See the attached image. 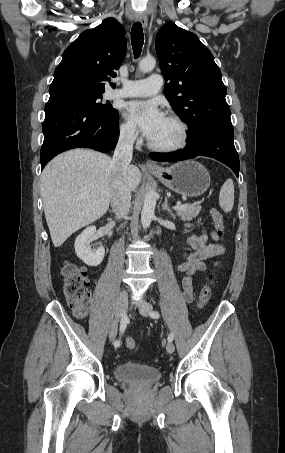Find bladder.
Listing matches in <instances>:
<instances>
[{"label": "bladder", "instance_id": "bladder-1", "mask_svg": "<svg viewBox=\"0 0 285 453\" xmlns=\"http://www.w3.org/2000/svg\"><path fill=\"white\" fill-rule=\"evenodd\" d=\"M114 374L118 380L136 385H151L161 378L157 368L131 362L118 365Z\"/></svg>", "mask_w": 285, "mask_h": 453}]
</instances>
